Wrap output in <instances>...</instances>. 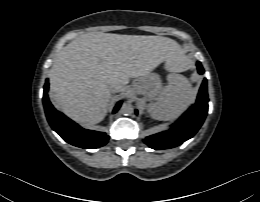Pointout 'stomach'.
Here are the masks:
<instances>
[{"label": "stomach", "instance_id": "1", "mask_svg": "<svg viewBox=\"0 0 260 202\" xmlns=\"http://www.w3.org/2000/svg\"><path fill=\"white\" fill-rule=\"evenodd\" d=\"M134 89L138 94H141L151 100L161 92L162 81L158 74L148 73L135 81Z\"/></svg>", "mask_w": 260, "mask_h": 202}]
</instances>
